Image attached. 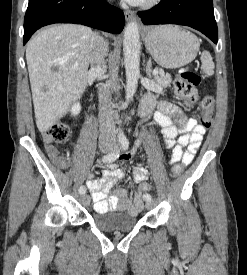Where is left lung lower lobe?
<instances>
[{
  "label": "left lung lower lobe",
  "instance_id": "0a47b994",
  "mask_svg": "<svg viewBox=\"0 0 247 275\" xmlns=\"http://www.w3.org/2000/svg\"><path fill=\"white\" fill-rule=\"evenodd\" d=\"M138 15L146 25H186L199 30L214 43L218 41L212 0H161L152 9L138 12Z\"/></svg>",
  "mask_w": 247,
  "mask_h": 275
}]
</instances>
